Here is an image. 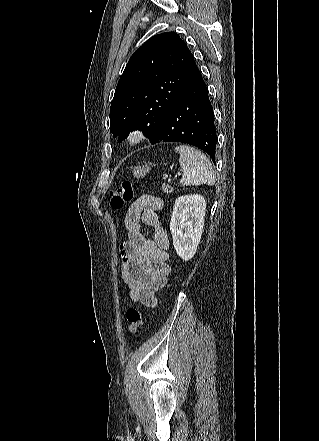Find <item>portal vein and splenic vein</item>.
I'll use <instances>...</instances> for the list:
<instances>
[{"label":"portal vein and splenic vein","instance_id":"18ae733b","mask_svg":"<svg viewBox=\"0 0 319 441\" xmlns=\"http://www.w3.org/2000/svg\"><path fill=\"white\" fill-rule=\"evenodd\" d=\"M178 176H181V173H178Z\"/></svg>","mask_w":319,"mask_h":441}]
</instances>
